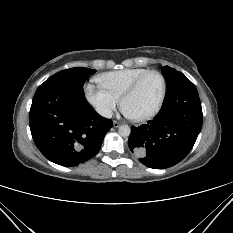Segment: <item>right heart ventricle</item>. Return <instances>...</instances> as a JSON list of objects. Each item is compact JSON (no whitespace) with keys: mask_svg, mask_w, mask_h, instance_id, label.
I'll return each instance as SVG.
<instances>
[{"mask_svg":"<svg viewBox=\"0 0 233 233\" xmlns=\"http://www.w3.org/2000/svg\"><path fill=\"white\" fill-rule=\"evenodd\" d=\"M148 68H126L100 74L97 82L112 93L117 98H120L123 92Z\"/></svg>","mask_w":233,"mask_h":233,"instance_id":"e07e8e85","label":"right heart ventricle"}]
</instances>
